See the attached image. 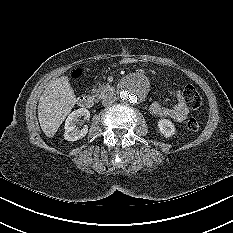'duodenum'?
I'll list each match as a JSON object with an SVG mask.
<instances>
[{
	"label": "duodenum",
	"instance_id": "1",
	"mask_svg": "<svg viewBox=\"0 0 233 233\" xmlns=\"http://www.w3.org/2000/svg\"><path fill=\"white\" fill-rule=\"evenodd\" d=\"M110 91L105 86L97 87L94 91L90 92L89 95H81L77 99V104L81 108L89 109L94 104H98L101 100L108 98Z\"/></svg>",
	"mask_w": 233,
	"mask_h": 233
}]
</instances>
